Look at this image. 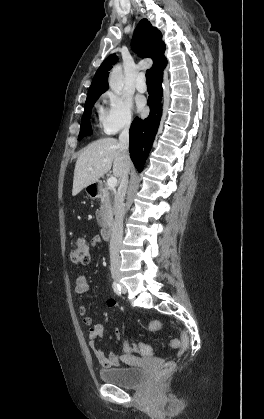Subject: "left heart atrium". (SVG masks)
Returning <instances> with one entry per match:
<instances>
[{
	"label": "left heart atrium",
	"mask_w": 264,
	"mask_h": 419,
	"mask_svg": "<svg viewBox=\"0 0 264 419\" xmlns=\"http://www.w3.org/2000/svg\"><path fill=\"white\" fill-rule=\"evenodd\" d=\"M138 107H139L140 110H143L144 109V103L142 101H140L138 103Z\"/></svg>",
	"instance_id": "1"
}]
</instances>
